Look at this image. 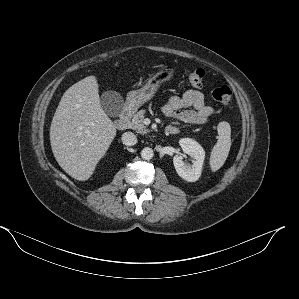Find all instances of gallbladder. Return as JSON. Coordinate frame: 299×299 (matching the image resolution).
<instances>
[{
    "label": "gallbladder",
    "mask_w": 299,
    "mask_h": 299,
    "mask_svg": "<svg viewBox=\"0 0 299 299\" xmlns=\"http://www.w3.org/2000/svg\"><path fill=\"white\" fill-rule=\"evenodd\" d=\"M100 104L105 113L111 117H118L123 113L124 99L120 93L112 90L103 92Z\"/></svg>",
    "instance_id": "1"
}]
</instances>
